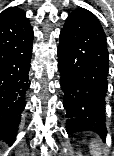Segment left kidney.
<instances>
[{"instance_id": "5707ae66", "label": "left kidney", "mask_w": 114, "mask_h": 156, "mask_svg": "<svg viewBox=\"0 0 114 156\" xmlns=\"http://www.w3.org/2000/svg\"><path fill=\"white\" fill-rule=\"evenodd\" d=\"M78 156H82L80 153L77 154Z\"/></svg>"}]
</instances>
